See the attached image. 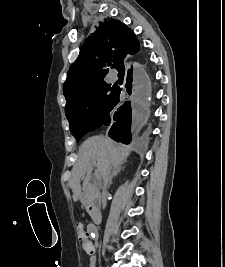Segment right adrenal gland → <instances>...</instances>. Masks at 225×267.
<instances>
[{"label":"right adrenal gland","instance_id":"right-adrenal-gland-1","mask_svg":"<svg viewBox=\"0 0 225 267\" xmlns=\"http://www.w3.org/2000/svg\"><path fill=\"white\" fill-rule=\"evenodd\" d=\"M123 164H124V162L122 164H119L118 166H115V167L112 168L111 177H110V180H109L108 187H110V185L112 184V179L115 176H117L121 172V170L124 168Z\"/></svg>","mask_w":225,"mask_h":267}]
</instances>
